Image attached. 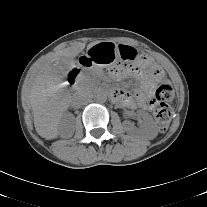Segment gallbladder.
I'll list each match as a JSON object with an SVG mask.
<instances>
[{
  "label": "gallbladder",
  "instance_id": "gallbladder-1",
  "mask_svg": "<svg viewBox=\"0 0 207 207\" xmlns=\"http://www.w3.org/2000/svg\"><path fill=\"white\" fill-rule=\"evenodd\" d=\"M58 62L64 69H68L72 66L73 59L71 57L61 56Z\"/></svg>",
  "mask_w": 207,
  "mask_h": 207
}]
</instances>
